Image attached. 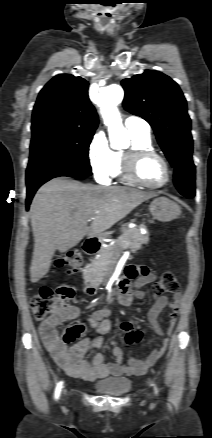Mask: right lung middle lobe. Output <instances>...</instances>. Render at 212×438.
I'll return each instance as SVG.
<instances>
[{
    "mask_svg": "<svg viewBox=\"0 0 212 438\" xmlns=\"http://www.w3.org/2000/svg\"><path fill=\"white\" fill-rule=\"evenodd\" d=\"M94 132L45 128L32 131L27 170L81 168L91 170L88 151Z\"/></svg>",
    "mask_w": 212,
    "mask_h": 438,
    "instance_id": "obj_1",
    "label": "right lung middle lobe"
}]
</instances>
